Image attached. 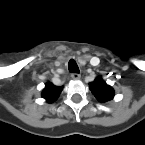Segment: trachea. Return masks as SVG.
<instances>
[{
  "label": "trachea",
  "mask_w": 145,
  "mask_h": 145,
  "mask_svg": "<svg viewBox=\"0 0 145 145\" xmlns=\"http://www.w3.org/2000/svg\"><path fill=\"white\" fill-rule=\"evenodd\" d=\"M68 69L72 73H79L80 72L77 63L73 59L68 62Z\"/></svg>",
  "instance_id": "trachea-1"
}]
</instances>
